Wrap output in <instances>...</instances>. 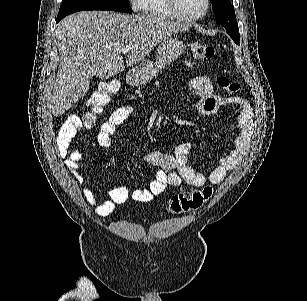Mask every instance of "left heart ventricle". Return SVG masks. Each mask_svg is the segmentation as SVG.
<instances>
[{
	"label": "left heart ventricle",
	"instance_id": "b2bd125f",
	"mask_svg": "<svg viewBox=\"0 0 307 301\" xmlns=\"http://www.w3.org/2000/svg\"><path fill=\"white\" fill-rule=\"evenodd\" d=\"M176 3L174 13H194L201 10L202 0H178Z\"/></svg>",
	"mask_w": 307,
	"mask_h": 301
}]
</instances>
